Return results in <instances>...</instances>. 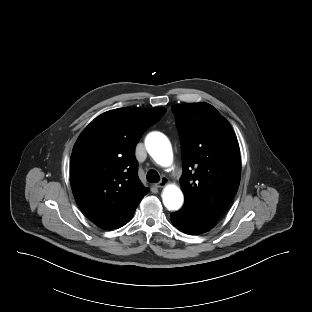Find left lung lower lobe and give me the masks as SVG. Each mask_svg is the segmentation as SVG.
<instances>
[{"mask_svg": "<svg viewBox=\"0 0 312 312\" xmlns=\"http://www.w3.org/2000/svg\"><path fill=\"white\" fill-rule=\"evenodd\" d=\"M172 224L187 234H202L209 231L216 224L215 219L205 217L191 209L182 207L170 216Z\"/></svg>", "mask_w": 312, "mask_h": 312, "instance_id": "1", "label": "left lung lower lobe"}]
</instances>
